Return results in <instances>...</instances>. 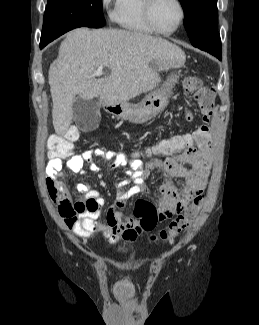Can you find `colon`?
Masks as SVG:
<instances>
[{
  "instance_id": "obj_1",
  "label": "colon",
  "mask_w": 259,
  "mask_h": 325,
  "mask_svg": "<svg viewBox=\"0 0 259 325\" xmlns=\"http://www.w3.org/2000/svg\"><path fill=\"white\" fill-rule=\"evenodd\" d=\"M184 92L194 98L202 112L203 119L207 122L214 108V93L204 85L203 81L196 76H187L182 81ZM206 125L200 128V135H180L179 138H162L158 143L161 150L170 149H196L197 143L207 134ZM79 133L76 129H69L62 135H54L50 138L48 146L50 153L56 159H62L69 155L78 140ZM51 197L57 196L58 192L53 187H48ZM204 201L203 195L194 198L192 204L184 213L179 214L164 230L151 237L153 242H170L174 240L183 230L188 228L198 215ZM134 217L138 220L139 228L142 231H150L154 228L159 220V214L156 207L149 201L138 200L134 208Z\"/></svg>"
}]
</instances>
